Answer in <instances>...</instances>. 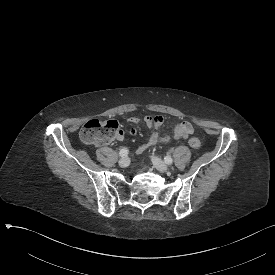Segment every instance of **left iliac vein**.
<instances>
[{
    "label": "left iliac vein",
    "instance_id": "left-iliac-vein-1",
    "mask_svg": "<svg viewBox=\"0 0 275 275\" xmlns=\"http://www.w3.org/2000/svg\"><path fill=\"white\" fill-rule=\"evenodd\" d=\"M152 163L161 172H166L169 170L168 165L159 157H152Z\"/></svg>",
    "mask_w": 275,
    "mask_h": 275
}]
</instances>
